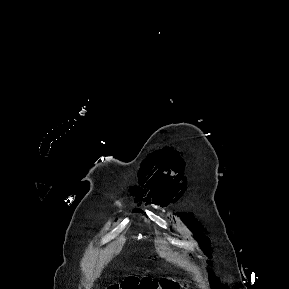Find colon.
Wrapping results in <instances>:
<instances>
[{"mask_svg": "<svg viewBox=\"0 0 289 289\" xmlns=\"http://www.w3.org/2000/svg\"><path fill=\"white\" fill-rule=\"evenodd\" d=\"M107 289H178V284L171 278L157 281L151 278L129 277L121 283L110 285Z\"/></svg>", "mask_w": 289, "mask_h": 289, "instance_id": "5ec220e1", "label": "colon"}]
</instances>
